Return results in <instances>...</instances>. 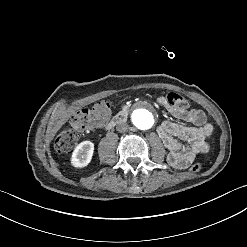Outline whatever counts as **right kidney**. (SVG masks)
Wrapping results in <instances>:
<instances>
[{
  "label": "right kidney",
  "mask_w": 247,
  "mask_h": 247,
  "mask_svg": "<svg viewBox=\"0 0 247 247\" xmlns=\"http://www.w3.org/2000/svg\"><path fill=\"white\" fill-rule=\"evenodd\" d=\"M94 144L90 141L81 142L73 151L71 163L74 167L87 166L93 155Z\"/></svg>",
  "instance_id": "right-kidney-1"
}]
</instances>
